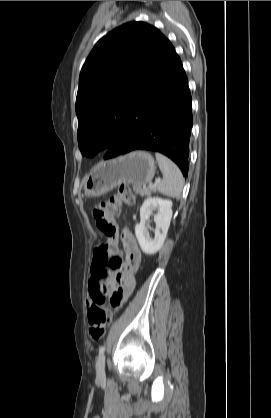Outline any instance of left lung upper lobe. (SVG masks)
<instances>
[{
	"instance_id": "5c2ea615",
	"label": "left lung upper lobe",
	"mask_w": 271,
	"mask_h": 418,
	"mask_svg": "<svg viewBox=\"0 0 271 418\" xmlns=\"http://www.w3.org/2000/svg\"><path fill=\"white\" fill-rule=\"evenodd\" d=\"M172 44L155 27L129 22L100 39L86 59L76 98L82 155L110 147Z\"/></svg>"
}]
</instances>
